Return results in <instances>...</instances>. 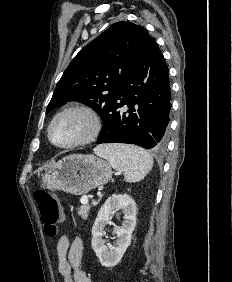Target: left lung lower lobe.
I'll list each match as a JSON object with an SVG mask.
<instances>
[{
	"mask_svg": "<svg viewBox=\"0 0 232 282\" xmlns=\"http://www.w3.org/2000/svg\"><path fill=\"white\" fill-rule=\"evenodd\" d=\"M127 105L126 112L122 107ZM169 72L153 38L138 64L123 82L114 105L103 120L97 140L162 149L168 141L171 110Z\"/></svg>",
	"mask_w": 232,
	"mask_h": 282,
	"instance_id": "obj_1",
	"label": "left lung lower lobe"
}]
</instances>
